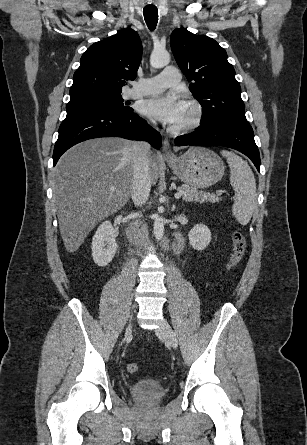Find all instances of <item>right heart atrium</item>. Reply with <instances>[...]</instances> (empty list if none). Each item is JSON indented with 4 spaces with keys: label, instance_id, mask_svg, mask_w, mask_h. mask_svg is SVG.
<instances>
[{
    "label": "right heart atrium",
    "instance_id": "d8ad5b80",
    "mask_svg": "<svg viewBox=\"0 0 307 445\" xmlns=\"http://www.w3.org/2000/svg\"><path fill=\"white\" fill-rule=\"evenodd\" d=\"M151 123H152V124L154 123V120H153V119H151Z\"/></svg>",
    "mask_w": 307,
    "mask_h": 445
}]
</instances>
